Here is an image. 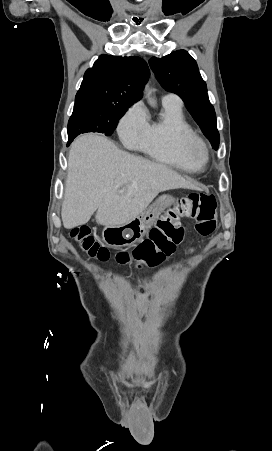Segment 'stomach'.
<instances>
[{"instance_id": "obj_1", "label": "stomach", "mask_w": 272, "mask_h": 451, "mask_svg": "<svg viewBox=\"0 0 272 451\" xmlns=\"http://www.w3.org/2000/svg\"><path fill=\"white\" fill-rule=\"evenodd\" d=\"M175 198L172 196H159L147 210H142L141 214L120 224V226H106L102 231V239L111 247H129L142 237L147 235L149 229L158 220V216L174 204Z\"/></svg>"}]
</instances>
